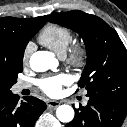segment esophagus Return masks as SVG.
<instances>
[{"label":"esophagus","instance_id":"34e87169","mask_svg":"<svg viewBox=\"0 0 127 127\" xmlns=\"http://www.w3.org/2000/svg\"><path fill=\"white\" fill-rule=\"evenodd\" d=\"M46 104L48 108L56 109L60 105V102L54 100H47Z\"/></svg>","mask_w":127,"mask_h":127}]
</instances>
